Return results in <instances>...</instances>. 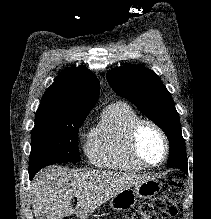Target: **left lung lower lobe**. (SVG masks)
Segmentation results:
<instances>
[{"label": "left lung lower lobe", "instance_id": "obj_1", "mask_svg": "<svg viewBox=\"0 0 211 219\" xmlns=\"http://www.w3.org/2000/svg\"><path fill=\"white\" fill-rule=\"evenodd\" d=\"M167 166L177 167L182 171L187 172V161H183L180 154L175 151H170Z\"/></svg>", "mask_w": 211, "mask_h": 219}]
</instances>
